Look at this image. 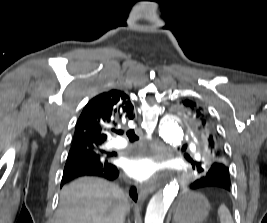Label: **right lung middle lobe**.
Masks as SVG:
<instances>
[{"mask_svg": "<svg viewBox=\"0 0 267 223\" xmlns=\"http://www.w3.org/2000/svg\"><path fill=\"white\" fill-rule=\"evenodd\" d=\"M112 153L94 145L80 146L69 151L64 172H73L85 167H104L111 164Z\"/></svg>", "mask_w": 267, "mask_h": 223, "instance_id": "right-lung-middle-lobe-1", "label": "right lung middle lobe"}]
</instances>
